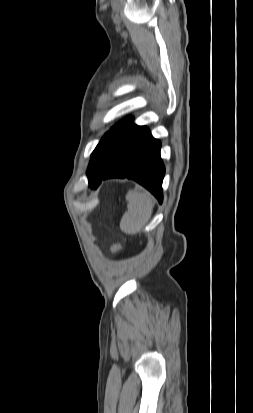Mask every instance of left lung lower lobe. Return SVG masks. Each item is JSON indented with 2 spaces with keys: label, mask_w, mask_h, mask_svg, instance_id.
I'll use <instances>...</instances> for the list:
<instances>
[{
  "label": "left lung lower lobe",
  "mask_w": 253,
  "mask_h": 413,
  "mask_svg": "<svg viewBox=\"0 0 253 413\" xmlns=\"http://www.w3.org/2000/svg\"><path fill=\"white\" fill-rule=\"evenodd\" d=\"M122 135L107 161L88 176L92 187L97 188L107 178H130L147 188L160 203L163 200L162 181L165 167L160 158L161 143L152 137L145 126L132 120L122 124Z\"/></svg>",
  "instance_id": "1"
}]
</instances>
